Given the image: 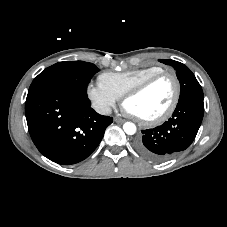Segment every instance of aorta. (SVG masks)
Instances as JSON below:
<instances>
[{
    "instance_id": "762f6f07",
    "label": "aorta",
    "mask_w": 227,
    "mask_h": 227,
    "mask_svg": "<svg viewBox=\"0 0 227 227\" xmlns=\"http://www.w3.org/2000/svg\"><path fill=\"white\" fill-rule=\"evenodd\" d=\"M123 130L128 135H134L136 133V125L132 122H126L123 124Z\"/></svg>"
}]
</instances>
